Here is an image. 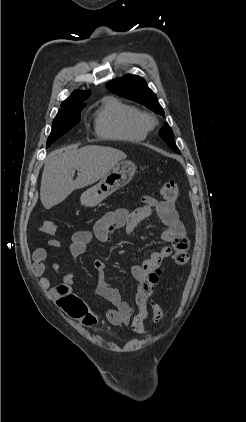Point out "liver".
Returning a JSON list of instances; mask_svg holds the SVG:
<instances>
[{"mask_svg": "<svg viewBox=\"0 0 246 422\" xmlns=\"http://www.w3.org/2000/svg\"><path fill=\"white\" fill-rule=\"evenodd\" d=\"M120 150L86 146L66 147L52 152L47 159L40 187V199L45 209L64 201L74 190L87 187L102 179L114 165L126 159ZM77 170L75 180L72 173Z\"/></svg>", "mask_w": 246, "mask_h": 422, "instance_id": "6515ba94", "label": "liver"}]
</instances>
